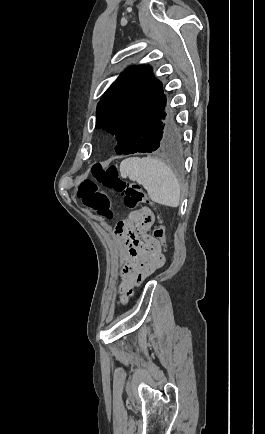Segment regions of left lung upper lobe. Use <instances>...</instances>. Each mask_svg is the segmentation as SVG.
I'll use <instances>...</instances> for the list:
<instances>
[{"label": "left lung upper lobe", "mask_w": 265, "mask_h": 434, "mask_svg": "<svg viewBox=\"0 0 265 434\" xmlns=\"http://www.w3.org/2000/svg\"><path fill=\"white\" fill-rule=\"evenodd\" d=\"M96 116L95 127L114 135L117 146L165 122L166 97L152 68L138 65L125 70L102 96Z\"/></svg>", "instance_id": "left-lung-upper-lobe-1"}]
</instances>
